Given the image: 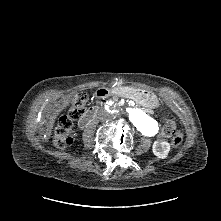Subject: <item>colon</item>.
<instances>
[{
  "label": "colon",
  "mask_w": 221,
  "mask_h": 221,
  "mask_svg": "<svg viewBox=\"0 0 221 221\" xmlns=\"http://www.w3.org/2000/svg\"><path fill=\"white\" fill-rule=\"evenodd\" d=\"M88 100L89 97L85 93H78L68 99V111L60 116L54 132L53 140L57 147L66 149L72 145V120L80 116ZM161 134L166 138H170L171 145L174 147L181 145L183 141L182 131L170 120H165Z\"/></svg>",
  "instance_id": "colon-1"
}]
</instances>
